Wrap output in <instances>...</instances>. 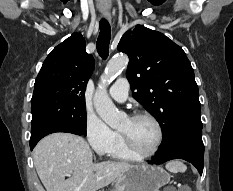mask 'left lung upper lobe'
<instances>
[{
    "mask_svg": "<svg viewBox=\"0 0 233 191\" xmlns=\"http://www.w3.org/2000/svg\"><path fill=\"white\" fill-rule=\"evenodd\" d=\"M117 49L129 56L133 97L163 130L160 146L181 130L202 128L198 86L181 47L158 31L136 25L122 36Z\"/></svg>",
    "mask_w": 233,
    "mask_h": 191,
    "instance_id": "5c2ea615",
    "label": "left lung upper lobe"
}]
</instances>
